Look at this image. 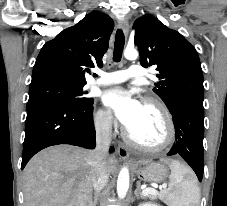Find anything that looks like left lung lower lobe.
<instances>
[{
  "mask_svg": "<svg viewBox=\"0 0 227 206\" xmlns=\"http://www.w3.org/2000/svg\"><path fill=\"white\" fill-rule=\"evenodd\" d=\"M175 127L176 143L167 154L180 155L195 171L199 181L203 177L204 107L198 102H182L170 110Z\"/></svg>",
  "mask_w": 227,
  "mask_h": 206,
  "instance_id": "obj_1",
  "label": "left lung lower lobe"
}]
</instances>
